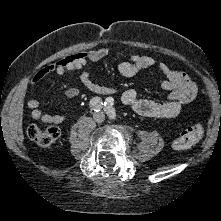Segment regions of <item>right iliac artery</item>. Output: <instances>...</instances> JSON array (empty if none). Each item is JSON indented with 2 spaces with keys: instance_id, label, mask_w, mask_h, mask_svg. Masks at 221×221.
<instances>
[{
  "instance_id": "obj_1",
  "label": "right iliac artery",
  "mask_w": 221,
  "mask_h": 221,
  "mask_svg": "<svg viewBox=\"0 0 221 221\" xmlns=\"http://www.w3.org/2000/svg\"><path fill=\"white\" fill-rule=\"evenodd\" d=\"M90 107L92 110L98 112L103 108V102L100 97H94L90 100Z\"/></svg>"
}]
</instances>
